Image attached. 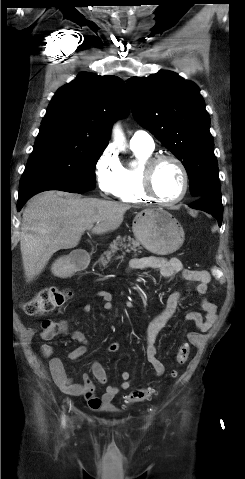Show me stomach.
I'll return each mask as SVG.
<instances>
[{"label":"stomach","mask_w":245,"mask_h":479,"mask_svg":"<svg viewBox=\"0 0 245 479\" xmlns=\"http://www.w3.org/2000/svg\"><path fill=\"white\" fill-rule=\"evenodd\" d=\"M133 233L137 240L150 252L166 255L178 250L185 238L178 220L162 209H144L133 221ZM58 277H68L73 267L68 257H60L51 268Z\"/></svg>","instance_id":"1"}]
</instances>
